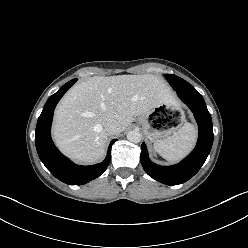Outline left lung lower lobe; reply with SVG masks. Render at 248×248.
Returning a JSON list of instances; mask_svg holds the SVG:
<instances>
[{"label": "left lung lower lobe", "instance_id": "left-lung-lower-lobe-1", "mask_svg": "<svg viewBox=\"0 0 248 248\" xmlns=\"http://www.w3.org/2000/svg\"><path fill=\"white\" fill-rule=\"evenodd\" d=\"M181 100L191 109L199 127L195 149L180 163L173 166H159L151 162L146 145L141 146V164L153 179L167 184H182L192 178L204 164L213 143V126L210 113L201 94L194 91H178Z\"/></svg>", "mask_w": 248, "mask_h": 248}]
</instances>
